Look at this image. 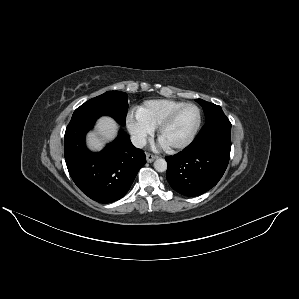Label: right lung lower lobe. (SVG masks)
<instances>
[{"instance_id":"1","label":"right lung lower lobe","mask_w":299,"mask_h":299,"mask_svg":"<svg viewBox=\"0 0 299 299\" xmlns=\"http://www.w3.org/2000/svg\"><path fill=\"white\" fill-rule=\"evenodd\" d=\"M96 120L90 117L70 121L65 132V161L71 178L84 194L97 202L111 203L127 193L146 158L122 130L103 151H89L85 135Z\"/></svg>"}]
</instances>
